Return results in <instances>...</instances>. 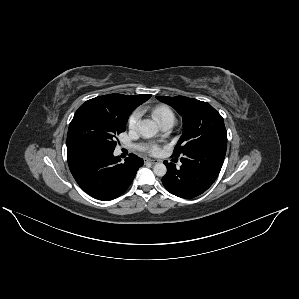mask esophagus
<instances>
[{
	"label": "esophagus",
	"mask_w": 299,
	"mask_h": 299,
	"mask_svg": "<svg viewBox=\"0 0 299 299\" xmlns=\"http://www.w3.org/2000/svg\"><path fill=\"white\" fill-rule=\"evenodd\" d=\"M145 163H150V164H156L159 162V160H155V159H145L144 160Z\"/></svg>",
	"instance_id": "34e87169"
}]
</instances>
